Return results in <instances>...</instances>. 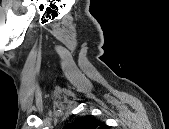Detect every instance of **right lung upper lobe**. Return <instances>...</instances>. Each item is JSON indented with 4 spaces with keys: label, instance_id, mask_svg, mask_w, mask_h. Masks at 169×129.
<instances>
[{
    "label": "right lung upper lobe",
    "instance_id": "obj_1",
    "mask_svg": "<svg viewBox=\"0 0 169 129\" xmlns=\"http://www.w3.org/2000/svg\"><path fill=\"white\" fill-rule=\"evenodd\" d=\"M66 129H106V125L101 121L90 117L84 116L76 119L75 122L65 125Z\"/></svg>",
    "mask_w": 169,
    "mask_h": 129
}]
</instances>
